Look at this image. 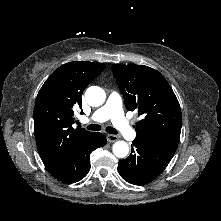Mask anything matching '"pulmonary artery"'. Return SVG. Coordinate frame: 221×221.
Here are the masks:
<instances>
[{"instance_id":"pulmonary-artery-1","label":"pulmonary artery","mask_w":221,"mask_h":221,"mask_svg":"<svg viewBox=\"0 0 221 221\" xmlns=\"http://www.w3.org/2000/svg\"><path fill=\"white\" fill-rule=\"evenodd\" d=\"M108 119L112 121L117 131L126 139L133 140L136 137V132L124 117L121 98L116 92H112L105 105L96 110L90 118H85V121L103 122Z\"/></svg>"}]
</instances>
